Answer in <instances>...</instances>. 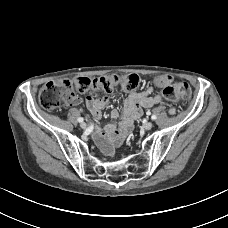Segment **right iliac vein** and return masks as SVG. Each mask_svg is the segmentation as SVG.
I'll use <instances>...</instances> for the list:
<instances>
[{
	"label": "right iliac vein",
	"mask_w": 228,
	"mask_h": 228,
	"mask_svg": "<svg viewBox=\"0 0 228 228\" xmlns=\"http://www.w3.org/2000/svg\"><path fill=\"white\" fill-rule=\"evenodd\" d=\"M80 127H81L82 129H85V128L87 127V125H86L85 122H81Z\"/></svg>",
	"instance_id": "right-iliac-vein-1"
}]
</instances>
